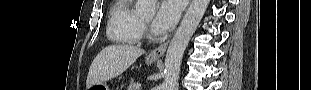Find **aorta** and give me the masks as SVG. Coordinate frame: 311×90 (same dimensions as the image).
<instances>
[{"label":"aorta","mask_w":311,"mask_h":90,"mask_svg":"<svg viewBox=\"0 0 311 90\" xmlns=\"http://www.w3.org/2000/svg\"><path fill=\"white\" fill-rule=\"evenodd\" d=\"M210 0H192L174 37L167 49L165 58V79L162 90H176L180 74V66L184 51L199 25ZM157 0H137L136 12L144 16H153Z\"/></svg>","instance_id":"1"}]
</instances>
